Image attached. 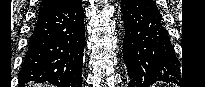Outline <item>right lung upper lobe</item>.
Masks as SVG:
<instances>
[{
	"mask_svg": "<svg viewBox=\"0 0 205 87\" xmlns=\"http://www.w3.org/2000/svg\"><path fill=\"white\" fill-rule=\"evenodd\" d=\"M67 1L68 0H42L39 7V12H45L53 8L60 7Z\"/></svg>",
	"mask_w": 205,
	"mask_h": 87,
	"instance_id": "cb5924a9",
	"label": "right lung upper lobe"
}]
</instances>
